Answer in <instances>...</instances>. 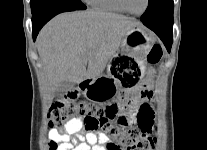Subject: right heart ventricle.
<instances>
[{"label":"right heart ventricle","instance_id":"e07e8e85","mask_svg":"<svg viewBox=\"0 0 207 150\" xmlns=\"http://www.w3.org/2000/svg\"><path fill=\"white\" fill-rule=\"evenodd\" d=\"M88 4L97 10L123 14L125 11L117 0H87Z\"/></svg>","mask_w":207,"mask_h":150}]
</instances>
